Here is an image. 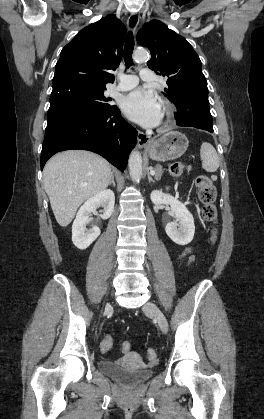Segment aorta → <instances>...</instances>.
Segmentation results:
<instances>
[{
  "mask_svg": "<svg viewBox=\"0 0 264 419\" xmlns=\"http://www.w3.org/2000/svg\"><path fill=\"white\" fill-rule=\"evenodd\" d=\"M149 54L146 50L138 49L134 52V60L138 63L147 61ZM129 170L133 182L139 183L142 176V157L138 151H132L129 156Z\"/></svg>",
  "mask_w": 264,
  "mask_h": 419,
  "instance_id": "762f6f07",
  "label": "aorta"
}]
</instances>
